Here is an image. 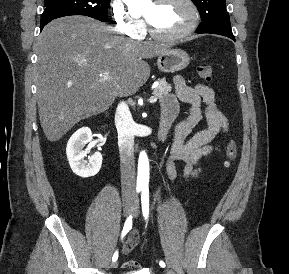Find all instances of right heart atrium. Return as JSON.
<instances>
[{
  "mask_svg": "<svg viewBox=\"0 0 289 274\" xmlns=\"http://www.w3.org/2000/svg\"><path fill=\"white\" fill-rule=\"evenodd\" d=\"M111 15L117 30L131 38H139L144 31V23L141 19L133 17L122 0L111 1Z\"/></svg>",
  "mask_w": 289,
  "mask_h": 274,
  "instance_id": "right-heart-atrium-1",
  "label": "right heart atrium"
}]
</instances>
